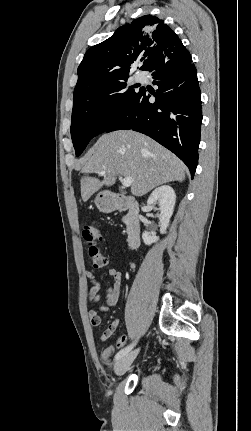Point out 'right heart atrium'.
I'll return each instance as SVG.
<instances>
[{
  "label": "right heart atrium",
  "mask_w": 251,
  "mask_h": 431,
  "mask_svg": "<svg viewBox=\"0 0 251 431\" xmlns=\"http://www.w3.org/2000/svg\"><path fill=\"white\" fill-rule=\"evenodd\" d=\"M103 115L106 116V117H108L110 115V111L108 109H105L103 111Z\"/></svg>",
  "instance_id": "1"
}]
</instances>
